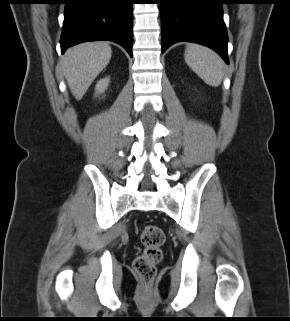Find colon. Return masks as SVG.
I'll return each mask as SVG.
<instances>
[{"label": "colon", "mask_w": 290, "mask_h": 321, "mask_svg": "<svg viewBox=\"0 0 290 321\" xmlns=\"http://www.w3.org/2000/svg\"><path fill=\"white\" fill-rule=\"evenodd\" d=\"M143 252L134 261V271L140 281L148 286L156 276V266L162 260L161 247L165 241L163 230L155 225L142 229Z\"/></svg>", "instance_id": "5ec220e1"}]
</instances>
